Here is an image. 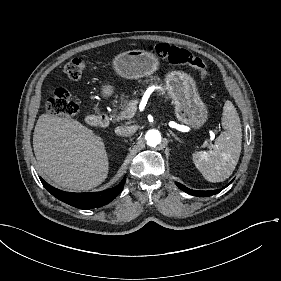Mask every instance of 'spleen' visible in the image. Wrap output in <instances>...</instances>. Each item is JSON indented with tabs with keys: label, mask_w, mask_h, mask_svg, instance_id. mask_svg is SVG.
I'll return each instance as SVG.
<instances>
[{
	"label": "spleen",
	"mask_w": 281,
	"mask_h": 281,
	"mask_svg": "<svg viewBox=\"0 0 281 281\" xmlns=\"http://www.w3.org/2000/svg\"><path fill=\"white\" fill-rule=\"evenodd\" d=\"M222 120L225 131L216 139L213 149L193 155L195 165L213 183L223 182L232 175L241 154V120L230 100H226L224 104Z\"/></svg>",
	"instance_id": "spleen-1"
}]
</instances>
